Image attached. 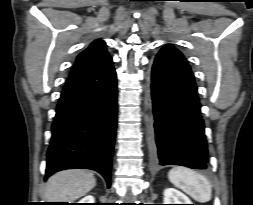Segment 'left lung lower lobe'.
I'll use <instances>...</instances> for the list:
<instances>
[{
	"label": "left lung lower lobe",
	"instance_id": "0a47b994",
	"mask_svg": "<svg viewBox=\"0 0 253 205\" xmlns=\"http://www.w3.org/2000/svg\"><path fill=\"white\" fill-rule=\"evenodd\" d=\"M154 130L151 149L158 165L207 168V143L194 75L171 44L157 54L151 71Z\"/></svg>",
	"mask_w": 253,
	"mask_h": 205
}]
</instances>
